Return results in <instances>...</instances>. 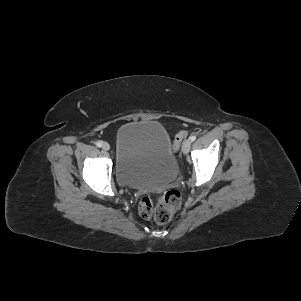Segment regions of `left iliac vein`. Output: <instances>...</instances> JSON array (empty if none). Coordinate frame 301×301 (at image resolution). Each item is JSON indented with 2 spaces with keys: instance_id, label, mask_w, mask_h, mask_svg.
Segmentation results:
<instances>
[{
  "instance_id": "left-iliac-vein-1",
  "label": "left iliac vein",
  "mask_w": 301,
  "mask_h": 301,
  "mask_svg": "<svg viewBox=\"0 0 301 301\" xmlns=\"http://www.w3.org/2000/svg\"><path fill=\"white\" fill-rule=\"evenodd\" d=\"M191 140L190 139H186L184 142H183V145H182V152L184 154H187L190 150V147H191Z\"/></svg>"
}]
</instances>
